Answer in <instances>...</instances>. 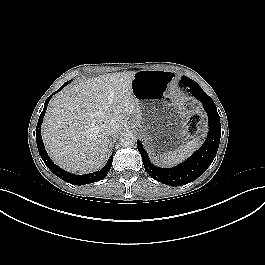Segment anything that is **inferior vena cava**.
<instances>
[{
    "instance_id": "obj_1",
    "label": "inferior vena cava",
    "mask_w": 265,
    "mask_h": 265,
    "mask_svg": "<svg viewBox=\"0 0 265 265\" xmlns=\"http://www.w3.org/2000/svg\"><path fill=\"white\" fill-rule=\"evenodd\" d=\"M116 125L113 121H105L101 126V132L106 135H112L115 133Z\"/></svg>"
}]
</instances>
